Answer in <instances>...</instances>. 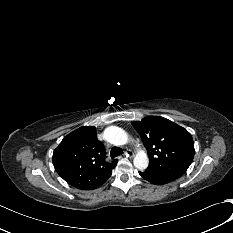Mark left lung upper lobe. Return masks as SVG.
Returning a JSON list of instances; mask_svg holds the SVG:
<instances>
[{
  "label": "left lung upper lobe",
  "mask_w": 233,
  "mask_h": 233,
  "mask_svg": "<svg viewBox=\"0 0 233 233\" xmlns=\"http://www.w3.org/2000/svg\"><path fill=\"white\" fill-rule=\"evenodd\" d=\"M148 151L150 164L145 170L167 182L182 176L194 157L191 134L176 123L148 116L132 123Z\"/></svg>",
  "instance_id": "5c2ea615"
}]
</instances>
